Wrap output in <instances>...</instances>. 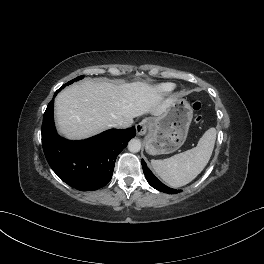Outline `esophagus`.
Segmentation results:
<instances>
[{
    "label": "esophagus",
    "instance_id": "esophagus-1",
    "mask_svg": "<svg viewBox=\"0 0 264 264\" xmlns=\"http://www.w3.org/2000/svg\"><path fill=\"white\" fill-rule=\"evenodd\" d=\"M150 124H151V120L148 118H145L141 122H139L136 125L137 134L140 136L145 135Z\"/></svg>",
    "mask_w": 264,
    "mask_h": 264
}]
</instances>
